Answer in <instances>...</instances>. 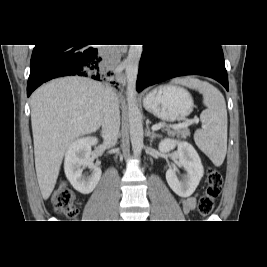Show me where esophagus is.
I'll return each instance as SVG.
<instances>
[{
  "label": "esophagus",
  "mask_w": 267,
  "mask_h": 267,
  "mask_svg": "<svg viewBox=\"0 0 267 267\" xmlns=\"http://www.w3.org/2000/svg\"><path fill=\"white\" fill-rule=\"evenodd\" d=\"M117 79L119 82L125 81V78L122 75L118 76Z\"/></svg>",
  "instance_id": "1"
}]
</instances>
